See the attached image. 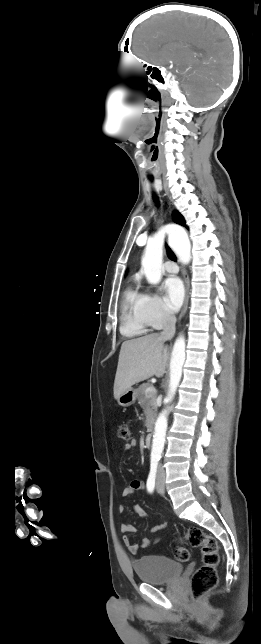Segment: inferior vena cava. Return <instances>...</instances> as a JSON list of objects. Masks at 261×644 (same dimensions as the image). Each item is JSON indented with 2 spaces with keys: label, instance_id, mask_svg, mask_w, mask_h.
<instances>
[{
  "label": "inferior vena cava",
  "instance_id": "602c4592",
  "mask_svg": "<svg viewBox=\"0 0 261 644\" xmlns=\"http://www.w3.org/2000/svg\"><path fill=\"white\" fill-rule=\"evenodd\" d=\"M165 320H166V324H165V327H164L163 331L161 332V337L167 339L175 331L176 318H175V316H173V315H171L169 313H166ZM157 473L158 474H164V469H163L162 466L159 465Z\"/></svg>",
  "mask_w": 261,
  "mask_h": 644
}]
</instances>
